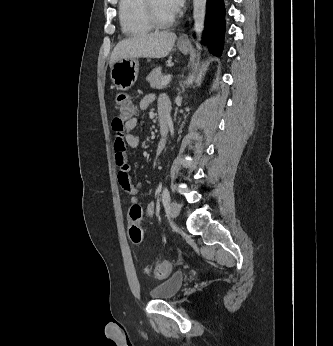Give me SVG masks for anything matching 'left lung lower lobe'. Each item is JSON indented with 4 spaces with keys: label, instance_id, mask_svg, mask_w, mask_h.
<instances>
[{
    "label": "left lung lower lobe",
    "instance_id": "0a47b994",
    "mask_svg": "<svg viewBox=\"0 0 333 346\" xmlns=\"http://www.w3.org/2000/svg\"><path fill=\"white\" fill-rule=\"evenodd\" d=\"M225 7L223 0H207L205 39L210 52L220 56L225 33Z\"/></svg>",
    "mask_w": 333,
    "mask_h": 346
}]
</instances>
